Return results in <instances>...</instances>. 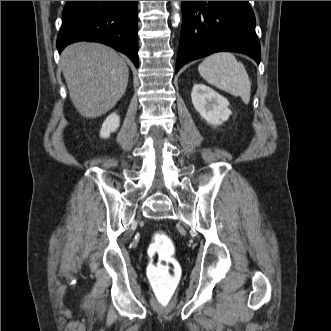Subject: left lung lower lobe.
<instances>
[{
    "label": "left lung lower lobe",
    "mask_w": 331,
    "mask_h": 331,
    "mask_svg": "<svg viewBox=\"0 0 331 331\" xmlns=\"http://www.w3.org/2000/svg\"><path fill=\"white\" fill-rule=\"evenodd\" d=\"M183 24L175 73L186 63L221 51L260 63L255 16L248 1H182Z\"/></svg>",
    "instance_id": "0a47b994"
}]
</instances>
